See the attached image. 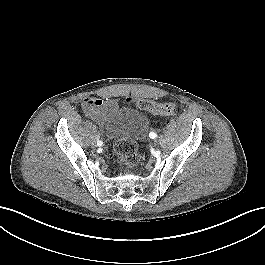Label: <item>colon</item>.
<instances>
[{"mask_svg":"<svg viewBox=\"0 0 265 265\" xmlns=\"http://www.w3.org/2000/svg\"><path fill=\"white\" fill-rule=\"evenodd\" d=\"M128 102L142 110L158 115H171L176 109L174 102L159 103L147 99H130ZM114 150L118 155L119 162L125 166L134 167L140 162L141 156L138 153L137 144L133 140L117 139L114 143Z\"/></svg>","mask_w":265,"mask_h":265,"instance_id":"1","label":"colon"}]
</instances>
